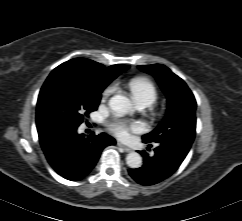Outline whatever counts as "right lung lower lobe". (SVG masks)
I'll list each match as a JSON object with an SVG mask.
<instances>
[{
	"label": "right lung lower lobe",
	"instance_id": "1",
	"mask_svg": "<svg viewBox=\"0 0 242 221\" xmlns=\"http://www.w3.org/2000/svg\"><path fill=\"white\" fill-rule=\"evenodd\" d=\"M39 141L53 169L64 178L77 181L96 165L102 150L115 140L105 134L84 138L77 127L48 125L38 129Z\"/></svg>",
	"mask_w": 242,
	"mask_h": 221
}]
</instances>
